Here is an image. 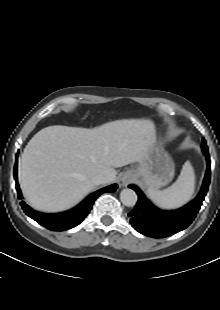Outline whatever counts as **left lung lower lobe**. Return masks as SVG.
Returning <instances> with one entry per match:
<instances>
[{
    "label": "left lung lower lobe",
    "instance_id": "1",
    "mask_svg": "<svg viewBox=\"0 0 220 310\" xmlns=\"http://www.w3.org/2000/svg\"><path fill=\"white\" fill-rule=\"evenodd\" d=\"M203 153L206 156L207 170L201 190L193 201L180 209L160 210L144 196L137 186L129 185L138 194V202L128 215L136 231L148 237L164 238L184 230L192 223L202 205L211 179L208 150Z\"/></svg>",
    "mask_w": 220,
    "mask_h": 310
}]
</instances>
